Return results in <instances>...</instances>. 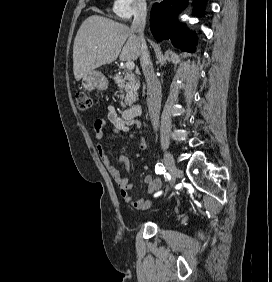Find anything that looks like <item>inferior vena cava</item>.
Wrapping results in <instances>:
<instances>
[{
    "label": "inferior vena cava",
    "mask_w": 272,
    "mask_h": 282,
    "mask_svg": "<svg viewBox=\"0 0 272 282\" xmlns=\"http://www.w3.org/2000/svg\"><path fill=\"white\" fill-rule=\"evenodd\" d=\"M146 16V3L144 1H139L135 8L131 30L137 34V37L141 43L140 62L147 83V105L153 128L155 131H157L159 127V115L161 108L162 93L161 84L154 73L146 41L144 39L143 32L146 23Z\"/></svg>",
    "instance_id": "inferior-vena-cava-1"
}]
</instances>
